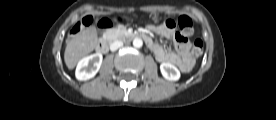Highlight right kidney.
Masks as SVG:
<instances>
[{
    "mask_svg": "<svg viewBox=\"0 0 276 120\" xmlns=\"http://www.w3.org/2000/svg\"><path fill=\"white\" fill-rule=\"evenodd\" d=\"M103 56L101 53H95L82 58L76 67V78L81 81L93 78L99 71Z\"/></svg>",
    "mask_w": 276,
    "mask_h": 120,
    "instance_id": "1",
    "label": "right kidney"
}]
</instances>
